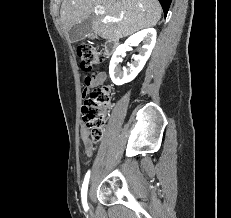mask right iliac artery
<instances>
[{"instance_id": "1", "label": "right iliac artery", "mask_w": 231, "mask_h": 218, "mask_svg": "<svg viewBox=\"0 0 231 218\" xmlns=\"http://www.w3.org/2000/svg\"><path fill=\"white\" fill-rule=\"evenodd\" d=\"M89 177H90V171L87 172L83 185H82V190H81V196H82V203L84 206V209H88L87 205V189H88V182H89Z\"/></svg>"}]
</instances>
